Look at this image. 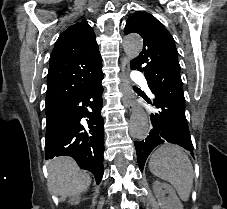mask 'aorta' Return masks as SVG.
Returning a JSON list of instances; mask_svg holds the SVG:
<instances>
[{
  "mask_svg": "<svg viewBox=\"0 0 227 209\" xmlns=\"http://www.w3.org/2000/svg\"><path fill=\"white\" fill-rule=\"evenodd\" d=\"M123 48L130 59L136 58L142 51L143 40L139 35L132 34L124 38ZM149 131V119L145 111L138 108L131 116L130 132L137 140L147 137Z\"/></svg>",
  "mask_w": 227,
  "mask_h": 209,
  "instance_id": "1",
  "label": "aorta"
}]
</instances>
